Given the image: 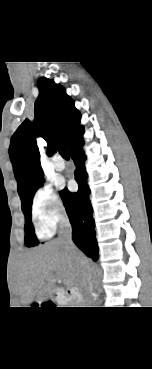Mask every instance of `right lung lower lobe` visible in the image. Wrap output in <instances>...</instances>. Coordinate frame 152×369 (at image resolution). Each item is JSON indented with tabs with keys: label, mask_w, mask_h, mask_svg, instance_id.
I'll return each instance as SVG.
<instances>
[{
	"label": "right lung lower lobe",
	"mask_w": 152,
	"mask_h": 369,
	"mask_svg": "<svg viewBox=\"0 0 152 369\" xmlns=\"http://www.w3.org/2000/svg\"><path fill=\"white\" fill-rule=\"evenodd\" d=\"M84 141L80 135L68 148L76 170L75 180L79 184L76 193L67 188L61 191V197L72 225V239L79 249L96 261L99 257L95 238V223L92 218V206L89 200L90 189L87 185V172L84 162L86 156L82 151Z\"/></svg>",
	"instance_id": "obj_1"
}]
</instances>
